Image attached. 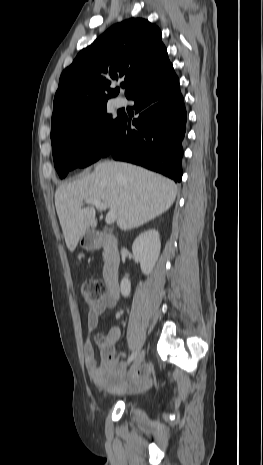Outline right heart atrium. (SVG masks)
Masks as SVG:
<instances>
[{
	"instance_id": "1",
	"label": "right heart atrium",
	"mask_w": 263,
	"mask_h": 465,
	"mask_svg": "<svg viewBox=\"0 0 263 465\" xmlns=\"http://www.w3.org/2000/svg\"><path fill=\"white\" fill-rule=\"evenodd\" d=\"M100 144V137L96 133H91L86 138V145L90 150H95Z\"/></svg>"
}]
</instances>
